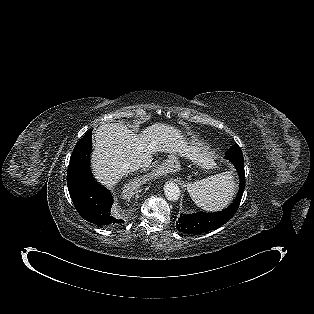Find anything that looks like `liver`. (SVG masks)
Here are the masks:
<instances>
[{
	"mask_svg": "<svg viewBox=\"0 0 314 314\" xmlns=\"http://www.w3.org/2000/svg\"><path fill=\"white\" fill-rule=\"evenodd\" d=\"M94 138L92 169L98 181L109 188L127 174L128 164L141 160L148 167L156 152L188 158L194 154V147L188 146L177 128L160 123L139 135L123 124L106 123L97 128Z\"/></svg>",
	"mask_w": 314,
	"mask_h": 314,
	"instance_id": "obj_1",
	"label": "liver"
}]
</instances>
